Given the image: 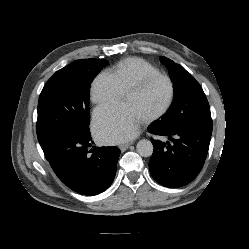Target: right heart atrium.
Instances as JSON below:
<instances>
[{
    "mask_svg": "<svg viewBox=\"0 0 249 249\" xmlns=\"http://www.w3.org/2000/svg\"><path fill=\"white\" fill-rule=\"evenodd\" d=\"M122 96V90L114 77L107 72L98 74L91 83L90 98L95 104L113 102Z\"/></svg>",
    "mask_w": 249,
    "mask_h": 249,
    "instance_id": "d8ad5b80",
    "label": "right heart atrium"
}]
</instances>
